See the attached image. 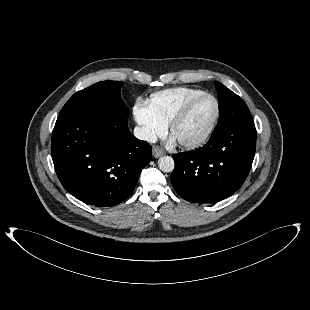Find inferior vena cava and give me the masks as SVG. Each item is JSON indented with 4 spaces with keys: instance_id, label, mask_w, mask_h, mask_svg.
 Listing matches in <instances>:
<instances>
[{
    "instance_id": "inferior-vena-cava-1",
    "label": "inferior vena cava",
    "mask_w": 310,
    "mask_h": 310,
    "mask_svg": "<svg viewBox=\"0 0 310 310\" xmlns=\"http://www.w3.org/2000/svg\"><path fill=\"white\" fill-rule=\"evenodd\" d=\"M134 136L140 140H144L150 143H155L157 141V137L154 133L142 128L135 127L134 128Z\"/></svg>"
}]
</instances>
